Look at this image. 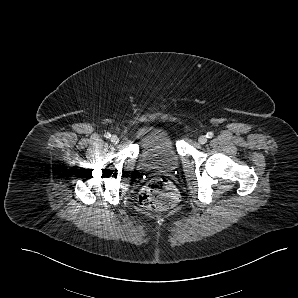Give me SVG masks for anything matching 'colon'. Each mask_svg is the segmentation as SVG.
Here are the masks:
<instances>
[{"label": "colon", "mask_w": 298, "mask_h": 298, "mask_svg": "<svg viewBox=\"0 0 298 298\" xmlns=\"http://www.w3.org/2000/svg\"><path fill=\"white\" fill-rule=\"evenodd\" d=\"M178 194L166 178H153L144 186L139 195L140 204L152 211H166L175 206Z\"/></svg>", "instance_id": "5ec220e1"}]
</instances>
